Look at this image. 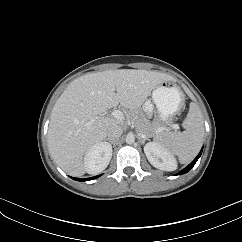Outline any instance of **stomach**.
<instances>
[{"mask_svg": "<svg viewBox=\"0 0 242 242\" xmlns=\"http://www.w3.org/2000/svg\"><path fill=\"white\" fill-rule=\"evenodd\" d=\"M152 100L156 105L159 114V120L163 123H169L184 105V93L174 83L165 81L158 85L153 93Z\"/></svg>", "mask_w": 242, "mask_h": 242, "instance_id": "0dacf381", "label": "stomach"}]
</instances>
